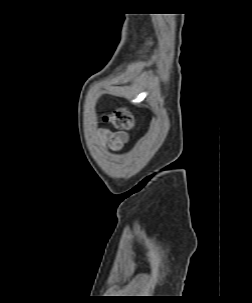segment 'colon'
Wrapping results in <instances>:
<instances>
[{"label": "colon", "instance_id": "1", "mask_svg": "<svg viewBox=\"0 0 252 303\" xmlns=\"http://www.w3.org/2000/svg\"><path fill=\"white\" fill-rule=\"evenodd\" d=\"M102 121L120 129L131 130L135 127L133 116L126 111H115L105 115L102 117Z\"/></svg>", "mask_w": 252, "mask_h": 303}]
</instances>
